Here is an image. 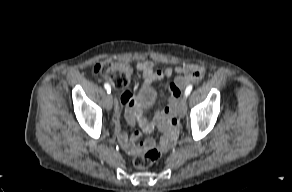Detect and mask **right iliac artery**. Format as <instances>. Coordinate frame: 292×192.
Returning <instances> with one entry per match:
<instances>
[{
  "label": "right iliac artery",
  "mask_w": 292,
  "mask_h": 192,
  "mask_svg": "<svg viewBox=\"0 0 292 192\" xmlns=\"http://www.w3.org/2000/svg\"><path fill=\"white\" fill-rule=\"evenodd\" d=\"M104 88L106 89L107 93L111 92V87H110V85L108 83L104 84Z\"/></svg>",
  "instance_id": "right-iliac-artery-1"
}]
</instances>
